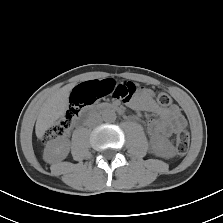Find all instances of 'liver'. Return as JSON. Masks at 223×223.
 Here are the masks:
<instances>
[{
  "instance_id": "liver-1",
  "label": "liver",
  "mask_w": 223,
  "mask_h": 223,
  "mask_svg": "<svg viewBox=\"0 0 223 223\" xmlns=\"http://www.w3.org/2000/svg\"><path fill=\"white\" fill-rule=\"evenodd\" d=\"M73 87L74 84L63 86L42 105L35 126L36 136L39 139H42L45 132L64 115L69 105V94Z\"/></svg>"
}]
</instances>
